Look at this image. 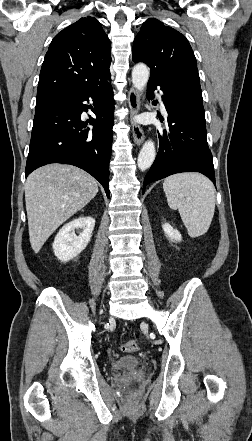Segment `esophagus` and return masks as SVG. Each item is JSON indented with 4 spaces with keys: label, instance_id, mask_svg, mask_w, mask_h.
Masks as SVG:
<instances>
[{
    "label": "esophagus",
    "instance_id": "1",
    "mask_svg": "<svg viewBox=\"0 0 252 441\" xmlns=\"http://www.w3.org/2000/svg\"><path fill=\"white\" fill-rule=\"evenodd\" d=\"M128 104L132 119L133 140L136 145H141L144 141V131L142 126L135 120V117L140 112L141 101L138 92L133 87L128 91Z\"/></svg>",
    "mask_w": 252,
    "mask_h": 441
}]
</instances>
